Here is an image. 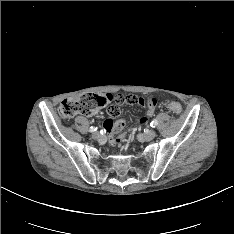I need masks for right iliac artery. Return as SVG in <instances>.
Listing matches in <instances>:
<instances>
[{"mask_svg": "<svg viewBox=\"0 0 234 234\" xmlns=\"http://www.w3.org/2000/svg\"><path fill=\"white\" fill-rule=\"evenodd\" d=\"M96 130H97V128H96V127H93V126L90 127V129H89L90 132H95Z\"/></svg>", "mask_w": 234, "mask_h": 234, "instance_id": "1", "label": "right iliac artery"}]
</instances>
